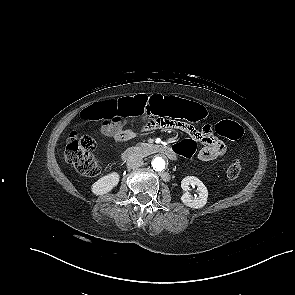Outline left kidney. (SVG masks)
Here are the masks:
<instances>
[{
  "label": "left kidney",
  "mask_w": 295,
  "mask_h": 295,
  "mask_svg": "<svg viewBox=\"0 0 295 295\" xmlns=\"http://www.w3.org/2000/svg\"><path fill=\"white\" fill-rule=\"evenodd\" d=\"M190 186L197 187L198 195L194 197L189 194ZM181 188L185 193L181 197V201L184 205L193 208L200 209L205 206L208 198V190L206 186L197 177L187 176L181 181Z\"/></svg>",
  "instance_id": "1"
}]
</instances>
